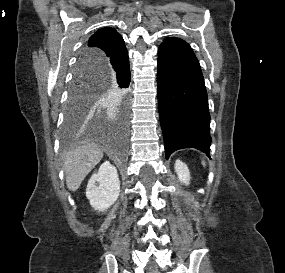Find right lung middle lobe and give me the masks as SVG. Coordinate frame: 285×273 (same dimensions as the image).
I'll return each mask as SVG.
<instances>
[{
  "label": "right lung middle lobe",
  "instance_id": "1",
  "mask_svg": "<svg viewBox=\"0 0 285 273\" xmlns=\"http://www.w3.org/2000/svg\"><path fill=\"white\" fill-rule=\"evenodd\" d=\"M105 94L122 98L124 102L126 91L107 85L101 74L82 70L77 65L69 91L65 127L69 130L75 128L91 106Z\"/></svg>",
  "mask_w": 285,
  "mask_h": 273
}]
</instances>
